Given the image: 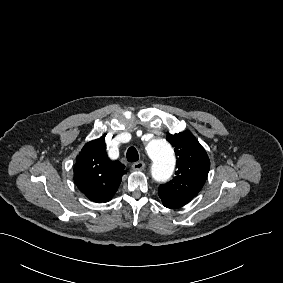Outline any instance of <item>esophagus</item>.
Segmentation results:
<instances>
[{
	"instance_id": "1",
	"label": "esophagus",
	"mask_w": 283,
	"mask_h": 283,
	"mask_svg": "<svg viewBox=\"0 0 283 283\" xmlns=\"http://www.w3.org/2000/svg\"><path fill=\"white\" fill-rule=\"evenodd\" d=\"M131 167L135 171H141L146 167V164L144 161H138V162L133 163Z\"/></svg>"
}]
</instances>
